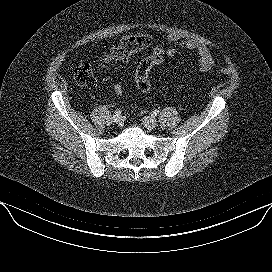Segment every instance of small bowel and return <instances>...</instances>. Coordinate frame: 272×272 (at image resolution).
<instances>
[{
  "instance_id": "small-bowel-1",
  "label": "small bowel",
  "mask_w": 272,
  "mask_h": 272,
  "mask_svg": "<svg viewBox=\"0 0 272 272\" xmlns=\"http://www.w3.org/2000/svg\"><path fill=\"white\" fill-rule=\"evenodd\" d=\"M132 37H125L120 40L115 47L126 48L129 46ZM167 47L161 45H154L152 47L153 55H161L167 57H173L180 48L195 51L198 55L197 64L202 72H207L215 65V58L209 51V49L192 39L180 40L176 34H171L166 39Z\"/></svg>"
}]
</instances>
